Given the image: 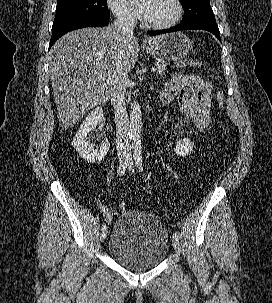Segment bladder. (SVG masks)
Listing matches in <instances>:
<instances>
[{"label":"bladder","instance_id":"1","mask_svg":"<svg viewBox=\"0 0 272 303\" xmlns=\"http://www.w3.org/2000/svg\"><path fill=\"white\" fill-rule=\"evenodd\" d=\"M168 252V232L156 216L130 210L115 221L108 254L125 268L133 271L153 269L165 260Z\"/></svg>","mask_w":272,"mask_h":303}]
</instances>
